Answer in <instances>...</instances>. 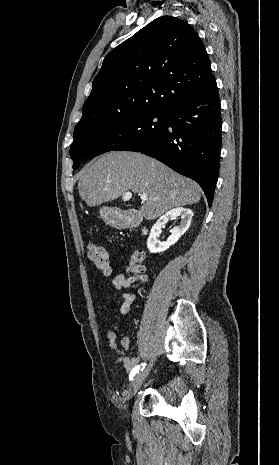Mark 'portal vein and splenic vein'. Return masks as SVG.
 Segmentation results:
<instances>
[{
    "label": "portal vein and splenic vein",
    "instance_id": "1",
    "mask_svg": "<svg viewBox=\"0 0 279 465\" xmlns=\"http://www.w3.org/2000/svg\"><path fill=\"white\" fill-rule=\"evenodd\" d=\"M131 196H132V194H131L130 192H127V193L125 194V197H127V198H130ZM140 197H141V199H142L143 201H146V200L149 199V198H148V195H147L146 193H142V194L140 195ZM153 200H158V199H157V198H154Z\"/></svg>",
    "mask_w": 279,
    "mask_h": 465
}]
</instances>
